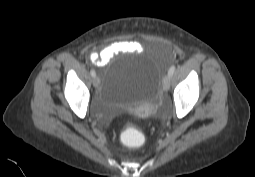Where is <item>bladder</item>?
I'll return each instance as SVG.
<instances>
[{
  "instance_id": "31cf9c89",
  "label": "bladder",
  "mask_w": 255,
  "mask_h": 177,
  "mask_svg": "<svg viewBox=\"0 0 255 177\" xmlns=\"http://www.w3.org/2000/svg\"><path fill=\"white\" fill-rule=\"evenodd\" d=\"M161 69L156 59L128 56L111 68L100 96L112 107L144 109L160 101Z\"/></svg>"
}]
</instances>
